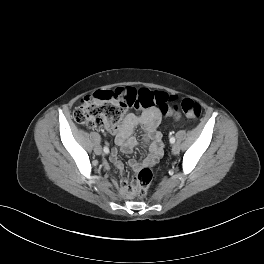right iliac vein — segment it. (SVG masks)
Here are the masks:
<instances>
[{
  "instance_id": "right-iliac-vein-1",
  "label": "right iliac vein",
  "mask_w": 264,
  "mask_h": 264,
  "mask_svg": "<svg viewBox=\"0 0 264 264\" xmlns=\"http://www.w3.org/2000/svg\"><path fill=\"white\" fill-rule=\"evenodd\" d=\"M94 151H95V153H96L97 155H99V154L102 153V149H101L100 146H96Z\"/></svg>"
}]
</instances>
